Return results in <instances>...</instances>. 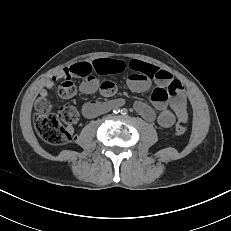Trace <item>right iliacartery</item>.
<instances>
[{
    "mask_svg": "<svg viewBox=\"0 0 231 231\" xmlns=\"http://www.w3.org/2000/svg\"><path fill=\"white\" fill-rule=\"evenodd\" d=\"M113 112L117 114L120 112V109L118 107H116V108H114Z\"/></svg>",
    "mask_w": 231,
    "mask_h": 231,
    "instance_id": "82829eb1",
    "label": "right iliac artery"
}]
</instances>
